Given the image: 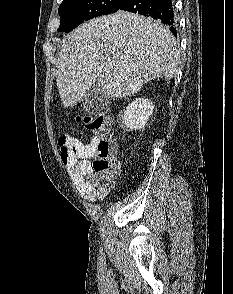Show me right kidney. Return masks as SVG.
Instances as JSON below:
<instances>
[{
	"label": "right kidney",
	"mask_w": 233,
	"mask_h": 294,
	"mask_svg": "<svg viewBox=\"0 0 233 294\" xmlns=\"http://www.w3.org/2000/svg\"><path fill=\"white\" fill-rule=\"evenodd\" d=\"M153 109L154 106L151 100L137 98L124 111L123 124L130 130H141L147 124Z\"/></svg>",
	"instance_id": "right-kidney-1"
}]
</instances>
